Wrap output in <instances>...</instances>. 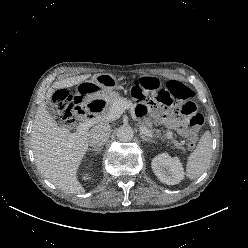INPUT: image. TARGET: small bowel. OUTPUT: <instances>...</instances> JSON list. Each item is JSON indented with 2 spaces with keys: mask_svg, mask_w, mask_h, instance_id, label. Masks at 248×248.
I'll return each mask as SVG.
<instances>
[{
  "mask_svg": "<svg viewBox=\"0 0 248 248\" xmlns=\"http://www.w3.org/2000/svg\"><path fill=\"white\" fill-rule=\"evenodd\" d=\"M138 113L140 115H145L149 111V107L146 104H140L138 106ZM161 121L165 123L168 127L177 129L181 134L187 135L189 128L186 123L181 122L179 118L172 115H162L160 117Z\"/></svg>",
  "mask_w": 248,
  "mask_h": 248,
  "instance_id": "small-bowel-1",
  "label": "small bowel"
}]
</instances>
